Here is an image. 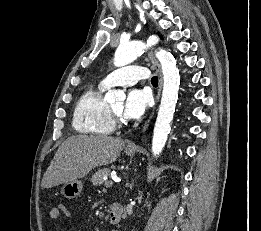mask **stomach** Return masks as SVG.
<instances>
[{
    "label": "stomach",
    "mask_w": 261,
    "mask_h": 231,
    "mask_svg": "<svg viewBox=\"0 0 261 231\" xmlns=\"http://www.w3.org/2000/svg\"><path fill=\"white\" fill-rule=\"evenodd\" d=\"M136 150L126 148V155L132 157L134 156ZM83 183L81 180H74L72 182L65 183L61 192L67 199H74L79 196L82 192Z\"/></svg>",
    "instance_id": "obj_1"
}]
</instances>
